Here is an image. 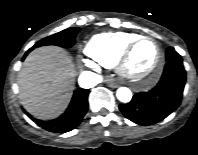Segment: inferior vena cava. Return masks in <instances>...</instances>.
<instances>
[{
    "label": "inferior vena cava",
    "mask_w": 198,
    "mask_h": 155,
    "mask_svg": "<svg viewBox=\"0 0 198 155\" xmlns=\"http://www.w3.org/2000/svg\"><path fill=\"white\" fill-rule=\"evenodd\" d=\"M101 80L102 78L99 75L86 71L80 75L79 83L81 86L87 84L89 87H93L100 83Z\"/></svg>",
    "instance_id": "inferior-vena-cava-1"
}]
</instances>
